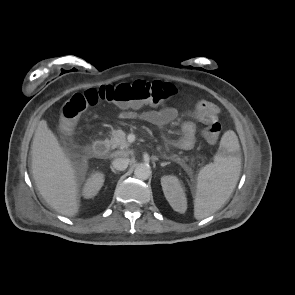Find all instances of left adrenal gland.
I'll return each instance as SVG.
<instances>
[{
	"label": "left adrenal gland",
	"mask_w": 295,
	"mask_h": 295,
	"mask_svg": "<svg viewBox=\"0 0 295 295\" xmlns=\"http://www.w3.org/2000/svg\"><path fill=\"white\" fill-rule=\"evenodd\" d=\"M166 159H167V157H165ZM168 164H170V162H162L160 165L162 166V167H164V166H166V165H168Z\"/></svg>",
	"instance_id": "obj_1"
}]
</instances>
